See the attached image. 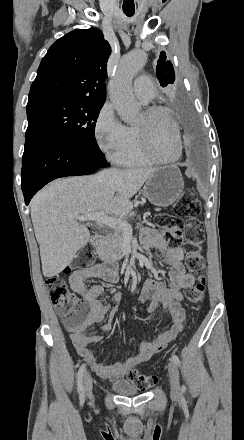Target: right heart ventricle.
I'll return each instance as SVG.
<instances>
[{"label": "right heart ventricle", "instance_id": "1", "mask_svg": "<svg viewBox=\"0 0 244 440\" xmlns=\"http://www.w3.org/2000/svg\"><path fill=\"white\" fill-rule=\"evenodd\" d=\"M140 133L141 131L136 129L135 126L129 127V134L134 138L135 147L130 151L115 152L112 159L116 164L128 168H151L156 165V161L152 154H148V145L145 147L141 146ZM151 147L154 149V146Z\"/></svg>", "mask_w": 244, "mask_h": 440}]
</instances>
